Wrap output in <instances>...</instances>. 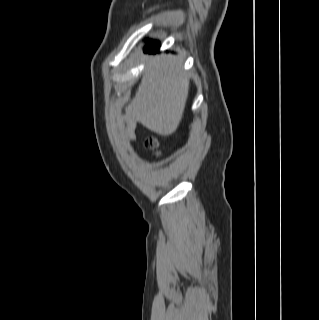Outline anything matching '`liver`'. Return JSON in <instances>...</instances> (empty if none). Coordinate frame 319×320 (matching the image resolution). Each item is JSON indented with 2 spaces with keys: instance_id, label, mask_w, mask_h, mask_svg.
<instances>
[{
  "instance_id": "6515ba94",
  "label": "liver",
  "mask_w": 319,
  "mask_h": 320,
  "mask_svg": "<svg viewBox=\"0 0 319 320\" xmlns=\"http://www.w3.org/2000/svg\"><path fill=\"white\" fill-rule=\"evenodd\" d=\"M190 81L182 63L171 56L149 61L126 113L159 135L174 133L182 119Z\"/></svg>"
}]
</instances>
